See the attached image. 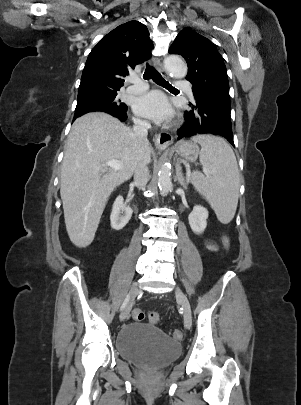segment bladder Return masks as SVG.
I'll list each match as a JSON object with an SVG mask.
<instances>
[{"mask_svg":"<svg viewBox=\"0 0 301 405\" xmlns=\"http://www.w3.org/2000/svg\"><path fill=\"white\" fill-rule=\"evenodd\" d=\"M115 347L125 360L138 365L158 368L171 363L181 351V346L157 327L130 323L117 334Z\"/></svg>","mask_w":301,"mask_h":405,"instance_id":"31cf9c89","label":"bladder"}]
</instances>
